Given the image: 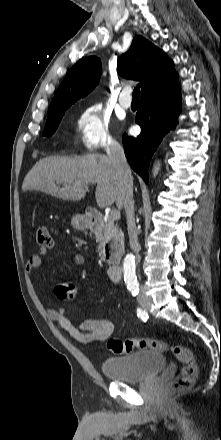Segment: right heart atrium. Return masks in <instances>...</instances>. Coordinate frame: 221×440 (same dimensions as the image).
Returning a JSON list of instances; mask_svg holds the SVG:
<instances>
[{
    "label": "right heart atrium",
    "mask_w": 221,
    "mask_h": 440,
    "mask_svg": "<svg viewBox=\"0 0 221 440\" xmlns=\"http://www.w3.org/2000/svg\"><path fill=\"white\" fill-rule=\"evenodd\" d=\"M76 130L78 142L86 151L107 149L115 144L110 118L98 106H88L81 110L76 119Z\"/></svg>",
    "instance_id": "1"
}]
</instances>
